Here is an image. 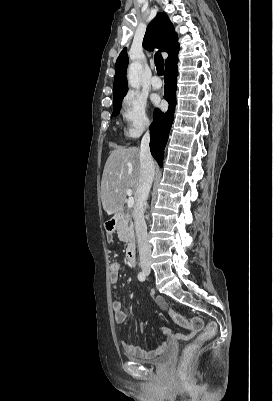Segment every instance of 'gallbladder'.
I'll use <instances>...</instances> for the list:
<instances>
[{
    "label": "gallbladder",
    "mask_w": 273,
    "mask_h": 401,
    "mask_svg": "<svg viewBox=\"0 0 273 401\" xmlns=\"http://www.w3.org/2000/svg\"><path fill=\"white\" fill-rule=\"evenodd\" d=\"M106 236H107L108 238L111 239V237L113 236V233H112L111 231H108V232L106 233ZM108 244H109V245H112V244H113V241H112V240H109V241H108Z\"/></svg>",
    "instance_id": "bac80fb5"
}]
</instances>
